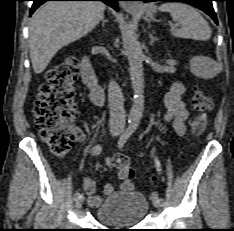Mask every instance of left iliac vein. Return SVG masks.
Listing matches in <instances>:
<instances>
[{
    "label": "left iliac vein",
    "instance_id": "4c4485c4",
    "mask_svg": "<svg viewBox=\"0 0 234 231\" xmlns=\"http://www.w3.org/2000/svg\"><path fill=\"white\" fill-rule=\"evenodd\" d=\"M151 199H152V202H153L154 206L158 208L160 206V203H159V198H158L157 193L154 192L152 194Z\"/></svg>",
    "mask_w": 234,
    "mask_h": 231
}]
</instances>
